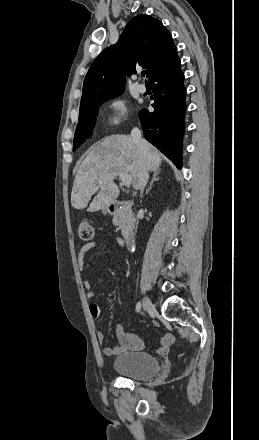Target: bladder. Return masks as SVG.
I'll use <instances>...</instances> for the list:
<instances>
[{"label": "bladder", "instance_id": "31cf9c89", "mask_svg": "<svg viewBox=\"0 0 259 440\" xmlns=\"http://www.w3.org/2000/svg\"><path fill=\"white\" fill-rule=\"evenodd\" d=\"M113 369L123 377L145 380L160 371V363L156 357L148 352L128 351L114 358Z\"/></svg>", "mask_w": 259, "mask_h": 440}]
</instances>
